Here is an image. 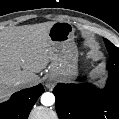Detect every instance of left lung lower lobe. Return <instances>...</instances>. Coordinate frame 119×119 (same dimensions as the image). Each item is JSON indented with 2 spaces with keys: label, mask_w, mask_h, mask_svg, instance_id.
Instances as JSON below:
<instances>
[{
  "label": "left lung lower lobe",
  "mask_w": 119,
  "mask_h": 119,
  "mask_svg": "<svg viewBox=\"0 0 119 119\" xmlns=\"http://www.w3.org/2000/svg\"><path fill=\"white\" fill-rule=\"evenodd\" d=\"M109 78L103 90L90 85L59 83L54 88L59 119H119V48L104 39Z\"/></svg>",
  "instance_id": "obj_1"
}]
</instances>
